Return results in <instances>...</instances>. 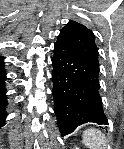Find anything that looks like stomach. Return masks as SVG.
Here are the masks:
<instances>
[{"mask_svg": "<svg viewBox=\"0 0 124 149\" xmlns=\"http://www.w3.org/2000/svg\"><path fill=\"white\" fill-rule=\"evenodd\" d=\"M83 138H84V137H83ZM86 138L92 139V137H91V136H89V137H86Z\"/></svg>", "mask_w": 124, "mask_h": 149, "instance_id": "stomach-1", "label": "stomach"}]
</instances>
